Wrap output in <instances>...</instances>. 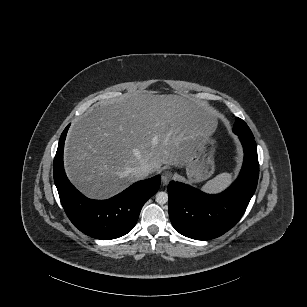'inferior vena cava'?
Wrapping results in <instances>:
<instances>
[{
    "mask_svg": "<svg viewBox=\"0 0 307 307\" xmlns=\"http://www.w3.org/2000/svg\"><path fill=\"white\" fill-rule=\"evenodd\" d=\"M131 173L137 178V179H144L146 178L150 170L147 165H141L139 167H135L131 169Z\"/></svg>",
    "mask_w": 307,
    "mask_h": 307,
    "instance_id": "1",
    "label": "inferior vena cava"
}]
</instances>
